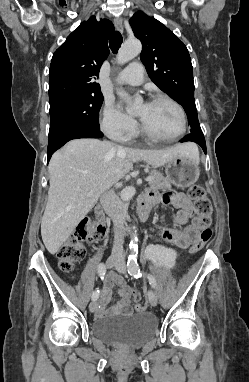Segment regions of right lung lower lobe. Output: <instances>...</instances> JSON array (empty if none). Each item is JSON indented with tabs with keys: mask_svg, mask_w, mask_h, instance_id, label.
I'll list each match as a JSON object with an SVG mask.
<instances>
[{
	"mask_svg": "<svg viewBox=\"0 0 249 382\" xmlns=\"http://www.w3.org/2000/svg\"><path fill=\"white\" fill-rule=\"evenodd\" d=\"M103 133L100 131L99 126H77L63 130L59 133L49 136L48 149H47V162H49L52 154L62 147L66 142L78 138H101Z\"/></svg>",
	"mask_w": 249,
	"mask_h": 382,
	"instance_id": "98d812e1",
	"label": "right lung lower lobe"
}]
</instances>
